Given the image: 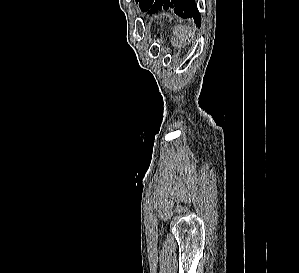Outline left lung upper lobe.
<instances>
[{
  "label": "left lung upper lobe",
  "mask_w": 299,
  "mask_h": 273,
  "mask_svg": "<svg viewBox=\"0 0 299 273\" xmlns=\"http://www.w3.org/2000/svg\"><path fill=\"white\" fill-rule=\"evenodd\" d=\"M147 0H136V2L140 4V8L142 9L144 4L146 3Z\"/></svg>",
  "instance_id": "left-lung-upper-lobe-1"
}]
</instances>
